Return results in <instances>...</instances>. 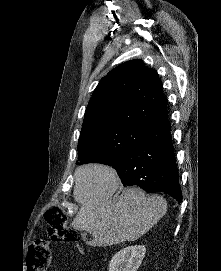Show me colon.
<instances>
[{
	"instance_id": "5ec220e1",
	"label": "colon",
	"mask_w": 221,
	"mask_h": 271,
	"mask_svg": "<svg viewBox=\"0 0 221 271\" xmlns=\"http://www.w3.org/2000/svg\"><path fill=\"white\" fill-rule=\"evenodd\" d=\"M45 220L48 224L49 238L55 242L74 243L80 234L67 225V215L61 207L53 206L46 210ZM53 254L49 242L43 238H35L26 254L28 271H48L51 267Z\"/></svg>"
}]
</instances>
